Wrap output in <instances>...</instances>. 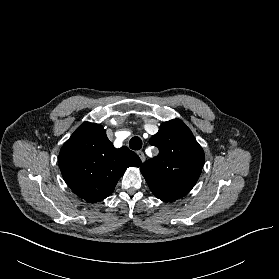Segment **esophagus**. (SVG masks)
Wrapping results in <instances>:
<instances>
[{
	"label": "esophagus",
	"mask_w": 279,
	"mask_h": 279,
	"mask_svg": "<svg viewBox=\"0 0 279 279\" xmlns=\"http://www.w3.org/2000/svg\"><path fill=\"white\" fill-rule=\"evenodd\" d=\"M137 154L140 157L141 161L144 162L145 161V154L142 151H138Z\"/></svg>",
	"instance_id": "1"
}]
</instances>
